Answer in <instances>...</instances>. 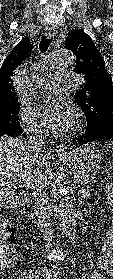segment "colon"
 <instances>
[{
    "label": "colon",
    "mask_w": 113,
    "mask_h": 279,
    "mask_svg": "<svg viewBox=\"0 0 113 279\" xmlns=\"http://www.w3.org/2000/svg\"><path fill=\"white\" fill-rule=\"evenodd\" d=\"M13 256L14 249L8 223L5 219L0 218V264L1 261L10 260Z\"/></svg>",
    "instance_id": "5ec220e1"
}]
</instances>
